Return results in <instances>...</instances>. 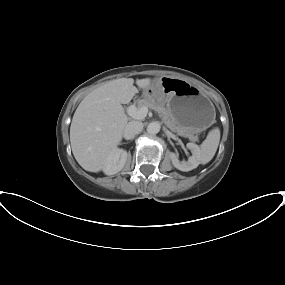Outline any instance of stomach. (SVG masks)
Here are the masks:
<instances>
[{"instance_id":"obj_1","label":"stomach","mask_w":285,"mask_h":285,"mask_svg":"<svg viewBox=\"0 0 285 285\" xmlns=\"http://www.w3.org/2000/svg\"><path fill=\"white\" fill-rule=\"evenodd\" d=\"M143 97L160 105L166 104L173 124L190 134L206 130L215 120L210 99L182 79L162 77L144 89Z\"/></svg>"}]
</instances>
